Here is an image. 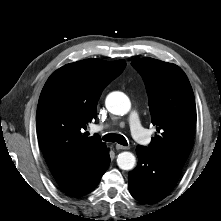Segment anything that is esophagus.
Segmentation results:
<instances>
[{
  "instance_id": "obj_1",
  "label": "esophagus",
  "mask_w": 221,
  "mask_h": 221,
  "mask_svg": "<svg viewBox=\"0 0 221 221\" xmlns=\"http://www.w3.org/2000/svg\"><path fill=\"white\" fill-rule=\"evenodd\" d=\"M115 147H116L117 150H127V149H129L128 146H123V145H120V144H116Z\"/></svg>"
}]
</instances>
